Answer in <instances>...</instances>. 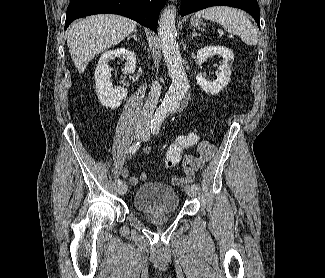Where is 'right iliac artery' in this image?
I'll return each mask as SVG.
<instances>
[{"mask_svg":"<svg viewBox=\"0 0 325 278\" xmlns=\"http://www.w3.org/2000/svg\"><path fill=\"white\" fill-rule=\"evenodd\" d=\"M150 128L152 129V125L150 126ZM140 148V142H136L134 143L130 148H129V153H135L138 149ZM123 182L122 180L118 179L117 180V184L121 185Z\"/></svg>","mask_w":325,"mask_h":278,"instance_id":"right-iliac-artery-1","label":"right iliac artery"}]
</instances>
